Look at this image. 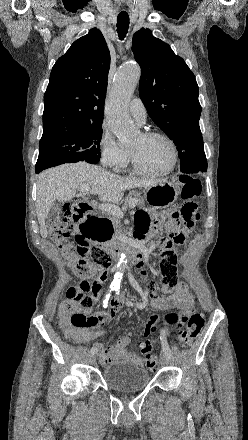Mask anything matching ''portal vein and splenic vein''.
Returning a JSON list of instances; mask_svg holds the SVG:
<instances>
[{
	"instance_id": "obj_1",
	"label": "portal vein and splenic vein",
	"mask_w": 248,
	"mask_h": 440,
	"mask_svg": "<svg viewBox=\"0 0 248 440\" xmlns=\"http://www.w3.org/2000/svg\"><path fill=\"white\" fill-rule=\"evenodd\" d=\"M90 190L89 186H85L81 189L82 192H88ZM137 204V200L135 199H130L129 200V207L130 208H134ZM99 209L109 213L112 216L118 217V218H122L124 216V213L121 211V209L113 204H109V203H102L99 205Z\"/></svg>"
}]
</instances>
